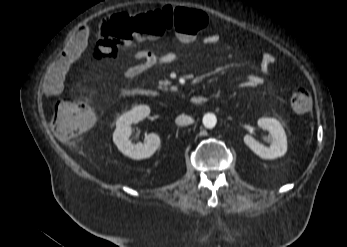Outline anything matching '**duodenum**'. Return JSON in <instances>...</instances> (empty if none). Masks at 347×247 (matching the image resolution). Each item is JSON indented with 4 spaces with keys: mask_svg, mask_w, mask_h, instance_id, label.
<instances>
[{
    "mask_svg": "<svg viewBox=\"0 0 347 247\" xmlns=\"http://www.w3.org/2000/svg\"><path fill=\"white\" fill-rule=\"evenodd\" d=\"M130 95H136V96H146L154 98L157 96V93L154 90L150 89H131L129 91ZM207 102V97L204 95H194L190 99V103L195 106L203 105Z\"/></svg>",
    "mask_w": 347,
    "mask_h": 247,
    "instance_id": "duodenum-1",
    "label": "duodenum"
}]
</instances>
